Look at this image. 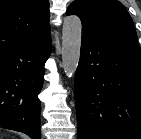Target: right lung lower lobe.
<instances>
[{"label": "right lung lower lobe", "mask_w": 141, "mask_h": 139, "mask_svg": "<svg viewBox=\"0 0 141 139\" xmlns=\"http://www.w3.org/2000/svg\"><path fill=\"white\" fill-rule=\"evenodd\" d=\"M50 55V36L0 52V127L41 138L38 99L44 64Z\"/></svg>", "instance_id": "1"}]
</instances>
